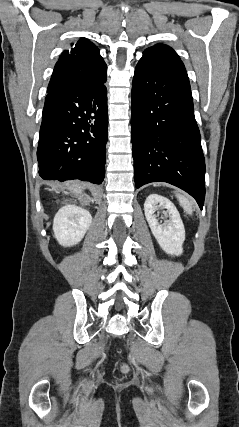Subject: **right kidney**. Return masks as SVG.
Masks as SVG:
<instances>
[{
	"mask_svg": "<svg viewBox=\"0 0 239 427\" xmlns=\"http://www.w3.org/2000/svg\"><path fill=\"white\" fill-rule=\"evenodd\" d=\"M91 223L92 216L86 209L76 205H66L54 217V236L62 246L76 245L83 239Z\"/></svg>",
	"mask_w": 239,
	"mask_h": 427,
	"instance_id": "1",
	"label": "right kidney"
}]
</instances>
